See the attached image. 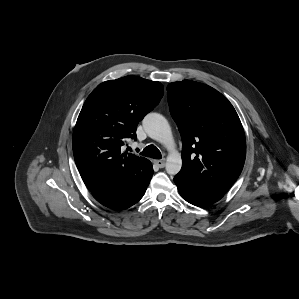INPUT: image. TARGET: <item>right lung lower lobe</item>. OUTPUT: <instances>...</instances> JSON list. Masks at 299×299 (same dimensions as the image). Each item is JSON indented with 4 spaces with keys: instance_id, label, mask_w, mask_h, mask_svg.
Segmentation results:
<instances>
[{
    "instance_id": "1",
    "label": "right lung lower lobe",
    "mask_w": 299,
    "mask_h": 299,
    "mask_svg": "<svg viewBox=\"0 0 299 299\" xmlns=\"http://www.w3.org/2000/svg\"><path fill=\"white\" fill-rule=\"evenodd\" d=\"M152 175L153 171L149 174L145 182L139 185H128L105 192H91L94 198L102 205L111 209L123 210L134 205L143 197Z\"/></svg>"
}]
</instances>
